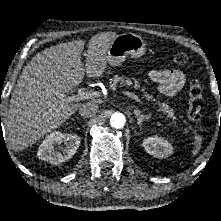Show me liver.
I'll list each match as a JSON object with an SVG mask.
<instances>
[{
  "label": "liver",
  "instance_id": "liver-1",
  "mask_svg": "<svg viewBox=\"0 0 221 221\" xmlns=\"http://www.w3.org/2000/svg\"><path fill=\"white\" fill-rule=\"evenodd\" d=\"M117 36L104 32L88 43L85 68L81 54L85 42L75 40L47 48L25 66L11 94L6 132L15 152H20L57 129L82 105L65 97L84 79L100 78L108 63V49Z\"/></svg>",
  "mask_w": 221,
  "mask_h": 221
}]
</instances>
